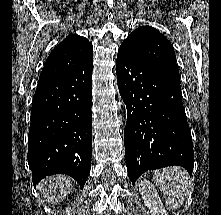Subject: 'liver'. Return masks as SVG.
Instances as JSON below:
<instances>
[{
  "mask_svg": "<svg viewBox=\"0 0 221 215\" xmlns=\"http://www.w3.org/2000/svg\"><path fill=\"white\" fill-rule=\"evenodd\" d=\"M37 189L49 204L63 201L73 189L72 180L64 175H53L42 181Z\"/></svg>",
  "mask_w": 221,
  "mask_h": 215,
  "instance_id": "1",
  "label": "liver"
}]
</instances>
